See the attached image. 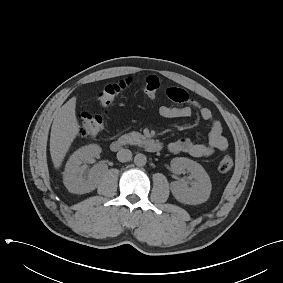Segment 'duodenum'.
<instances>
[{
    "instance_id": "duodenum-1",
    "label": "duodenum",
    "mask_w": 283,
    "mask_h": 283,
    "mask_svg": "<svg viewBox=\"0 0 283 283\" xmlns=\"http://www.w3.org/2000/svg\"><path fill=\"white\" fill-rule=\"evenodd\" d=\"M123 143L120 140H114L110 144V149L113 152H117L120 149H122ZM144 147L149 152H160L163 148L162 144L158 141L152 140V139H146L144 140Z\"/></svg>"
}]
</instances>
